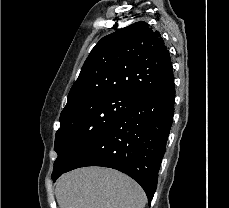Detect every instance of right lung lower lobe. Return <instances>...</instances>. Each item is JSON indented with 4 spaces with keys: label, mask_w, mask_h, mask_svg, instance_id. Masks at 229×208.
<instances>
[{
    "label": "right lung lower lobe",
    "mask_w": 229,
    "mask_h": 208,
    "mask_svg": "<svg viewBox=\"0 0 229 208\" xmlns=\"http://www.w3.org/2000/svg\"><path fill=\"white\" fill-rule=\"evenodd\" d=\"M174 100L173 78L141 97L110 127L88 142L63 173L85 166L117 169L141 185L150 204L172 125Z\"/></svg>",
    "instance_id": "obj_1"
}]
</instances>
